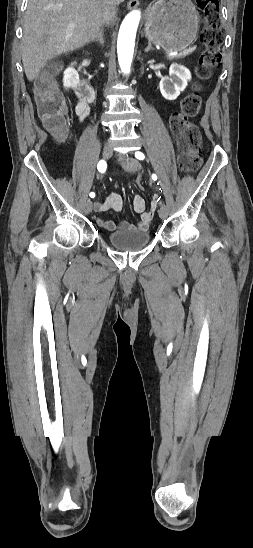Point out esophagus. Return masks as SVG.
<instances>
[{
	"mask_svg": "<svg viewBox=\"0 0 253 548\" xmlns=\"http://www.w3.org/2000/svg\"><path fill=\"white\" fill-rule=\"evenodd\" d=\"M139 5V1L138 0H129V2L127 3V7L128 9H134L136 7H138Z\"/></svg>",
	"mask_w": 253,
	"mask_h": 548,
	"instance_id": "esophagus-1",
	"label": "esophagus"
}]
</instances>
